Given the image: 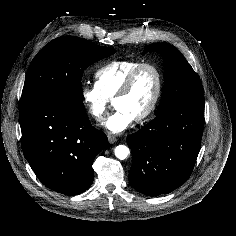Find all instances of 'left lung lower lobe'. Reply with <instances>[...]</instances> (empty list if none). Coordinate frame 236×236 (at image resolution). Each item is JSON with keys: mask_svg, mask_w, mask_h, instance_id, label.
I'll use <instances>...</instances> for the list:
<instances>
[{"mask_svg": "<svg viewBox=\"0 0 236 236\" xmlns=\"http://www.w3.org/2000/svg\"><path fill=\"white\" fill-rule=\"evenodd\" d=\"M204 128V101L169 107L128 137L131 186L149 196L167 194L191 175Z\"/></svg>", "mask_w": 236, "mask_h": 236, "instance_id": "left-lung-lower-lobe-1", "label": "left lung lower lobe"}]
</instances>
